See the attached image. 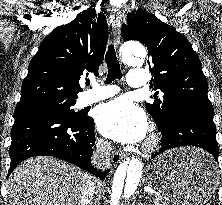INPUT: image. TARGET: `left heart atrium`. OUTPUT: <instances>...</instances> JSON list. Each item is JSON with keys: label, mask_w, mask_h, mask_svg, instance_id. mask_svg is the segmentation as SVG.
Returning a JSON list of instances; mask_svg holds the SVG:
<instances>
[{"label": "left heart atrium", "mask_w": 222, "mask_h": 205, "mask_svg": "<svg viewBox=\"0 0 222 205\" xmlns=\"http://www.w3.org/2000/svg\"><path fill=\"white\" fill-rule=\"evenodd\" d=\"M96 121L103 135L122 143L138 142L148 130L144 111L127 97L101 105L96 113Z\"/></svg>", "instance_id": "39dd6f15"}]
</instances>
